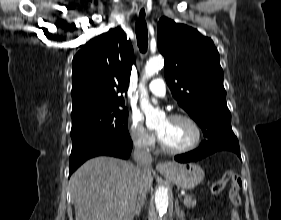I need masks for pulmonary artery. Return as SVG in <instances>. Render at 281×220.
Returning a JSON list of instances; mask_svg holds the SVG:
<instances>
[{
	"label": "pulmonary artery",
	"mask_w": 281,
	"mask_h": 220,
	"mask_svg": "<svg viewBox=\"0 0 281 220\" xmlns=\"http://www.w3.org/2000/svg\"><path fill=\"white\" fill-rule=\"evenodd\" d=\"M148 88L149 92L157 98H162L166 94V85L161 78H156L152 80Z\"/></svg>",
	"instance_id": "obj_1"
}]
</instances>
